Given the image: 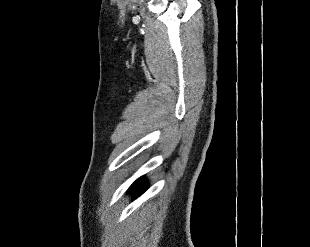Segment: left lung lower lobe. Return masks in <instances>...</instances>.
I'll use <instances>...</instances> for the list:
<instances>
[{
  "label": "left lung lower lobe",
  "instance_id": "obj_1",
  "mask_svg": "<svg viewBox=\"0 0 310 247\" xmlns=\"http://www.w3.org/2000/svg\"><path fill=\"white\" fill-rule=\"evenodd\" d=\"M145 182H146V180L144 178H139L129 188V192H132L136 195L142 194L146 189Z\"/></svg>",
  "mask_w": 310,
  "mask_h": 247
}]
</instances>
